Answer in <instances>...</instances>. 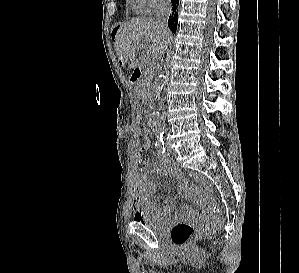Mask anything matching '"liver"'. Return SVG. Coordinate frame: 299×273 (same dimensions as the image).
I'll use <instances>...</instances> for the list:
<instances>
[{
    "label": "liver",
    "mask_w": 299,
    "mask_h": 273,
    "mask_svg": "<svg viewBox=\"0 0 299 273\" xmlns=\"http://www.w3.org/2000/svg\"><path fill=\"white\" fill-rule=\"evenodd\" d=\"M171 40L169 30H163L152 18L140 17L120 25L115 36L114 48L122 65L128 60L136 67L140 59H135L142 46L147 47V57L158 59Z\"/></svg>",
    "instance_id": "obj_1"
}]
</instances>
